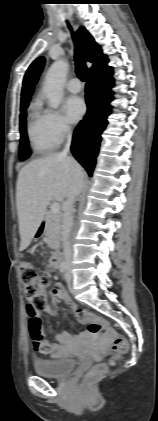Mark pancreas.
I'll use <instances>...</instances> for the list:
<instances>
[{"label": "pancreas", "mask_w": 158, "mask_h": 421, "mask_svg": "<svg viewBox=\"0 0 158 421\" xmlns=\"http://www.w3.org/2000/svg\"><path fill=\"white\" fill-rule=\"evenodd\" d=\"M62 215L54 214L51 210L46 214V226L44 234L46 243L51 249H57L60 243Z\"/></svg>", "instance_id": "1"}]
</instances>
